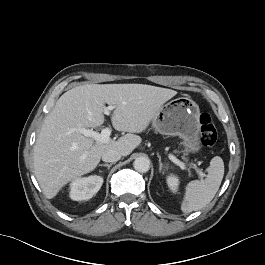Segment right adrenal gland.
I'll list each match as a JSON object with an SVG mask.
<instances>
[{
    "label": "right adrenal gland",
    "mask_w": 265,
    "mask_h": 265,
    "mask_svg": "<svg viewBox=\"0 0 265 265\" xmlns=\"http://www.w3.org/2000/svg\"><path fill=\"white\" fill-rule=\"evenodd\" d=\"M100 167H107L108 169H110V167L112 166L111 164H99Z\"/></svg>",
    "instance_id": "obj_1"
}]
</instances>
